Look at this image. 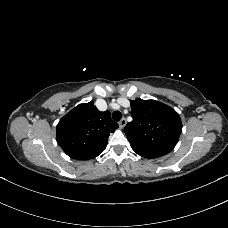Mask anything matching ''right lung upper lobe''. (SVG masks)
I'll return each mask as SVG.
<instances>
[{"label": "right lung upper lobe", "instance_id": "right-lung-upper-lobe-1", "mask_svg": "<svg viewBox=\"0 0 228 228\" xmlns=\"http://www.w3.org/2000/svg\"><path fill=\"white\" fill-rule=\"evenodd\" d=\"M117 128L109 111L101 112L89 102L79 104L61 118L56 139L71 158L89 160L105 150L109 134Z\"/></svg>", "mask_w": 228, "mask_h": 228}]
</instances>
